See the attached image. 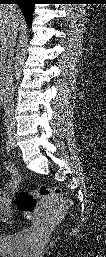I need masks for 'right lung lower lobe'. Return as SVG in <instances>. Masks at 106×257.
Segmentation results:
<instances>
[{
    "label": "right lung lower lobe",
    "mask_w": 106,
    "mask_h": 257,
    "mask_svg": "<svg viewBox=\"0 0 106 257\" xmlns=\"http://www.w3.org/2000/svg\"><path fill=\"white\" fill-rule=\"evenodd\" d=\"M0 3L18 4L25 17L26 23L29 25L35 0H0Z\"/></svg>",
    "instance_id": "98d812e1"
}]
</instances>
